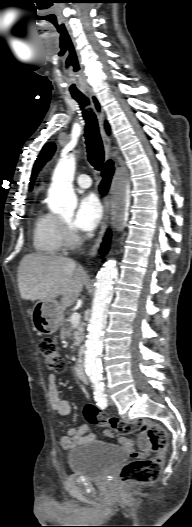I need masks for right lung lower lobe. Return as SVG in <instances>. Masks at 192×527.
<instances>
[{"mask_svg": "<svg viewBox=\"0 0 192 527\" xmlns=\"http://www.w3.org/2000/svg\"><path fill=\"white\" fill-rule=\"evenodd\" d=\"M112 174H113V163L111 161H108L102 170V176L104 177V179L100 185V190L103 194L108 190ZM110 237H111V234H110V231L108 230L106 236L104 237V242L102 243V246H101V253L103 254H106L108 251Z\"/></svg>", "mask_w": 192, "mask_h": 527, "instance_id": "obj_1", "label": "right lung lower lobe"}]
</instances>
